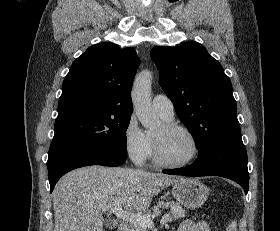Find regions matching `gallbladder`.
<instances>
[{
    "instance_id": "obj_1",
    "label": "gallbladder",
    "mask_w": 280,
    "mask_h": 231,
    "mask_svg": "<svg viewBox=\"0 0 280 231\" xmlns=\"http://www.w3.org/2000/svg\"><path fill=\"white\" fill-rule=\"evenodd\" d=\"M104 225L105 227H109V229H114V227H117L118 223L117 221H114V219H106Z\"/></svg>"
}]
</instances>
